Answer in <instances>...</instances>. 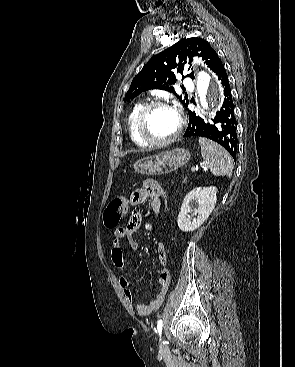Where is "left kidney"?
Listing matches in <instances>:
<instances>
[{
  "mask_svg": "<svg viewBox=\"0 0 295 367\" xmlns=\"http://www.w3.org/2000/svg\"><path fill=\"white\" fill-rule=\"evenodd\" d=\"M217 200V188L197 187L184 198L179 215L178 227L183 232L194 231L199 228L213 211ZM192 216H195L193 219Z\"/></svg>",
  "mask_w": 295,
  "mask_h": 367,
  "instance_id": "left-kidney-1",
  "label": "left kidney"
}]
</instances>
